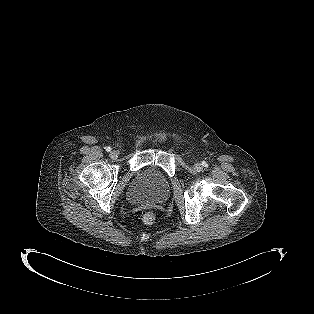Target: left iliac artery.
Masks as SVG:
<instances>
[{"label":"left iliac artery","instance_id":"obj_1","mask_svg":"<svg viewBox=\"0 0 314 314\" xmlns=\"http://www.w3.org/2000/svg\"><path fill=\"white\" fill-rule=\"evenodd\" d=\"M202 165H203L204 167H207V166H208V164H207L206 162H203Z\"/></svg>","mask_w":314,"mask_h":314}]
</instances>
